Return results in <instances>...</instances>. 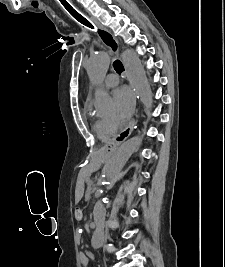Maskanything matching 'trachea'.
Returning <instances> with one entry per match:
<instances>
[{
	"mask_svg": "<svg viewBox=\"0 0 225 267\" xmlns=\"http://www.w3.org/2000/svg\"><path fill=\"white\" fill-rule=\"evenodd\" d=\"M71 8V10H72V12H73V14L70 12V14L78 21V22H80L81 24H83V25H85V26H87V27H89V28H94L93 27V25L85 18V17H83L81 14H79L76 10H74L72 7H70ZM100 32V36H101V38L105 41L106 40V38L108 37V34L106 33V32H102L101 33V31H99ZM113 67H114V69H115V71L118 73V74H120L121 72H123L124 71V67H123V64L119 61V60H116V61H114V63H113Z\"/></svg>",
	"mask_w": 225,
	"mask_h": 267,
	"instance_id": "3493384b",
	"label": "trachea"
}]
</instances>
